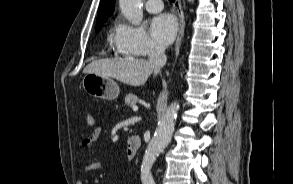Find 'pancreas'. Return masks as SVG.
<instances>
[{
  "label": "pancreas",
  "mask_w": 293,
  "mask_h": 184,
  "mask_svg": "<svg viewBox=\"0 0 293 184\" xmlns=\"http://www.w3.org/2000/svg\"><path fill=\"white\" fill-rule=\"evenodd\" d=\"M138 101H139V98L133 94H128L125 97V104L127 106H135Z\"/></svg>",
  "instance_id": "obj_1"
}]
</instances>
